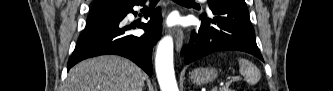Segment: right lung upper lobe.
<instances>
[{
  "label": "right lung upper lobe",
  "mask_w": 333,
  "mask_h": 91,
  "mask_svg": "<svg viewBox=\"0 0 333 91\" xmlns=\"http://www.w3.org/2000/svg\"><path fill=\"white\" fill-rule=\"evenodd\" d=\"M144 0H94L91 14L122 11L132 4ZM114 4H117L116 6Z\"/></svg>",
  "instance_id": "cb5924a9"
}]
</instances>
